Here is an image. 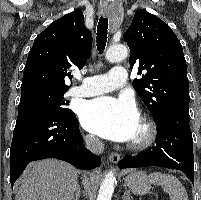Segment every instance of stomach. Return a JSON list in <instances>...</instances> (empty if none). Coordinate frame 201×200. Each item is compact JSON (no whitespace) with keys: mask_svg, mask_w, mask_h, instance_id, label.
I'll return each mask as SVG.
<instances>
[{"mask_svg":"<svg viewBox=\"0 0 201 200\" xmlns=\"http://www.w3.org/2000/svg\"><path fill=\"white\" fill-rule=\"evenodd\" d=\"M125 183L128 188L138 195L147 194L150 191L149 177L144 171H132L126 178Z\"/></svg>","mask_w":201,"mask_h":200,"instance_id":"0dacf381","label":"stomach"}]
</instances>
